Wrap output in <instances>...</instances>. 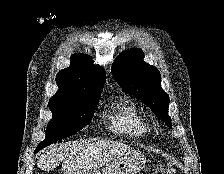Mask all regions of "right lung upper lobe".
I'll return each mask as SVG.
<instances>
[{"mask_svg":"<svg viewBox=\"0 0 224 174\" xmlns=\"http://www.w3.org/2000/svg\"><path fill=\"white\" fill-rule=\"evenodd\" d=\"M106 81V73L99 65L92 63L91 57L75 54L70 67L56 76L59 87L49 103H69L88 98H99Z\"/></svg>","mask_w":224,"mask_h":174,"instance_id":"obj_1","label":"right lung upper lobe"}]
</instances>
